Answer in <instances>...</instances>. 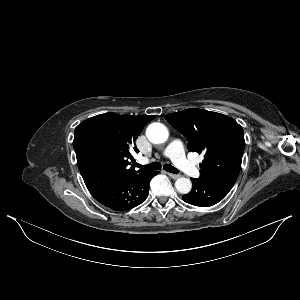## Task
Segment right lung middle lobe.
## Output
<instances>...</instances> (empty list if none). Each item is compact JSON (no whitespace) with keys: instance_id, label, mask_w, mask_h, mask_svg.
<instances>
[{"instance_id":"obj_1","label":"right lung middle lobe","mask_w":300,"mask_h":300,"mask_svg":"<svg viewBox=\"0 0 300 300\" xmlns=\"http://www.w3.org/2000/svg\"><path fill=\"white\" fill-rule=\"evenodd\" d=\"M77 164L87 187L97 184L102 179L101 167L91 156L82 157Z\"/></svg>"}]
</instances>
